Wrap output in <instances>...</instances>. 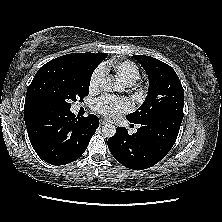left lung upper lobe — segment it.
<instances>
[{"instance_id": "1", "label": "left lung upper lobe", "mask_w": 222, "mask_h": 222, "mask_svg": "<svg viewBox=\"0 0 222 222\" xmlns=\"http://www.w3.org/2000/svg\"><path fill=\"white\" fill-rule=\"evenodd\" d=\"M149 76V90L144 103L126 119L135 124L169 115L183 118L184 90L174 69L145 55H134Z\"/></svg>"}]
</instances>
